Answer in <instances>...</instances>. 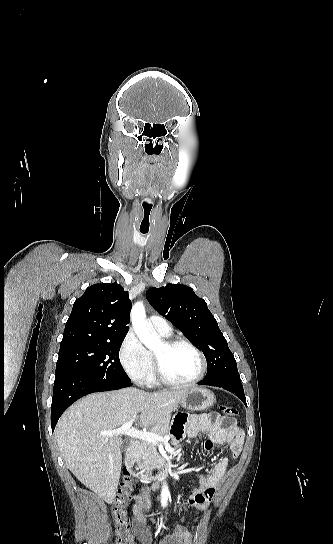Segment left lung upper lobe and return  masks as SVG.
Segmentation results:
<instances>
[{
    "instance_id": "obj_1",
    "label": "left lung upper lobe",
    "mask_w": 333,
    "mask_h": 544,
    "mask_svg": "<svg viewBox=\"0 0 333 544\" xmlns=\"http://www.w3.org/2000/svg\"><path fill=\"white\" fill-rule=\"evenodd\" d=\"M146 297L151 306L186 337L191 338L203 351L207 360L209 380L222 376L239 377L236 360L217 321L192 288L186 285L167 284L150 288Z\"/></svg>"
}]
</instances>
